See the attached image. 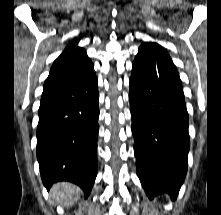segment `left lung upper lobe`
<instances>
[{
  "instance_id": "left-lung-upper-lobe-1",
  "label": "left lung upper lobe",
  "mask_w": 221,
  "mask_h": 215,
  "mask_svg": "<svg viewBox=\"0 0 221 215\" xmlns=\"http://www.w3.org/2000/svg\"><path fill=\"white\" fill-rule=\"evenodd\" d=\"M152 44H154V43L146 42V43L142 44L140 48H145V47L151 46Z\"/></svg>"
}]
</instances>
